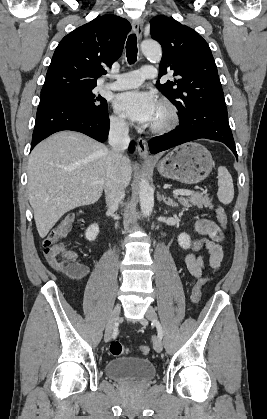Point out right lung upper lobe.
I'll use <instances>...</instances> for the list:
<instances>
[{
  "instance_id": "obj_1",
  "label": "right lung upper lobe",
  "mask_w": 267,
  "mask_h": 419,
  "mask_svg": "<svg viewBox=\"0 0 267 419\" xmlns=\"http://www.w3.org/2000/svg\"><path fill=\"white\" fill-rule=\"evenodd\" d=\"M130 23L107 14L78 27L57 46L41 94L67 86L96 87L104 69L120 57Z\"/></svg>"
}]
</instances>
